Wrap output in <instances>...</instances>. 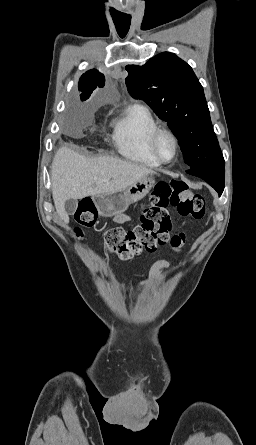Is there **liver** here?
Instances as JSON below:
<instances>
[{
	"label": "liver",
	"mask_w": 256,
	"mask_h": 445,
	"mask_svg": "<svg viewBox=\"0 0 256 445\" xmlns=\"http://www.w3.org/2000/svg\"><path fill=\"white\" fill-rule=\"evenodd\" d=\"M152 169L109 156L86 158L71 150L60 148L52 162L51 185L57 214L65 223L67 199L110 194L122 191L138 180L154 175Z\"/></svg>",
	"instance_id": "1"
}]
</instances>
